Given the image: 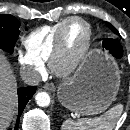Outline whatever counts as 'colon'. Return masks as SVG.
Listing matches in <instances>:
<instances>
[{
  "label": "colon",
  "instance_id": "1",
  "mask_svg": "<svg viewBox=\"0 0 130 130\" xmlns=\"http://www.w3.org/2000/svg\"><path fill=\"white\" fill-rule=\"evenodd\" d=\"M103 46L107 51L116 57H119L122 53V47L112 38H105L103 41Z\"/></svg>",
  "mask_w": 130,
  "mask_h": 130
}]
</instances>
